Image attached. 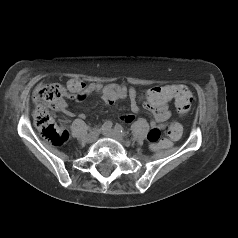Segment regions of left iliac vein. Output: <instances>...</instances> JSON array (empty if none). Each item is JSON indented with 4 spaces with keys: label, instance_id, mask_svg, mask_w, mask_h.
I'll return each mask as SVG.
<instances>
[{
    "label": "left iliac vein",
    "instance_id": "4c4485c4",
    "mask_svg": "<svg viewBox=\"0 0 238 238\" xmlns=\"http://www.w3.org/2000/svg\"><path fill=\"white\" fill-rule=\"evenodd\" d=\"M103 134L107 137L117 140L118 142H120L123 145H129V141L125 140L123 135L116 130H113V129L104 130Z\"/></svg>",
    "mask_w": 238,
    "mask_h": 238
}]
</instances>
